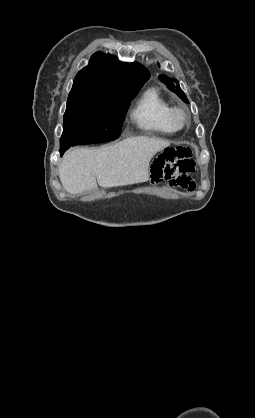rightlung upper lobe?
<instances>
[{"instance_id":"obj_1","label":"right lung upper lobe","mask_w":255,"mask_h":418,"mask_svg":"<svg viewBox=\"0 0 255 418\" xmlns=\"http://www.w3.org/2000/svg\"><path fill=\"white\" fill-rule=\"evenodd\" d=\"M149 77V71L139 63H122L111 54L97 52L77 73L71 92L132 91L140 89Z\"/></svg>"}]
</instances>
